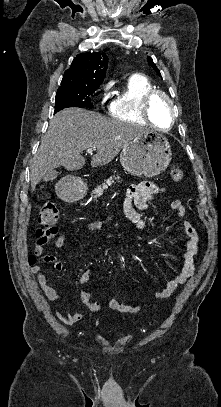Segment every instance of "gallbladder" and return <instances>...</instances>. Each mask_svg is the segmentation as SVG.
<instances>
[{
  "instance_id": "1",
  "label": "gallbladder",
  "mask_w": 221,
  "mask_h": 407,
  "mask_svg": "<svg viewBox=\"0 0 221 407\" xmlns=\"http://www.w3.org/2000/svg\"><path fill=\"white\" fill-rule=\"evenodd\" d=\"M57 176H58V172H57L56 170H52V171L48 172V173L44 176L43 180H44L45 182L51 181V180H54L55 178H57Z\"/></svg>"
}]
</instances>
